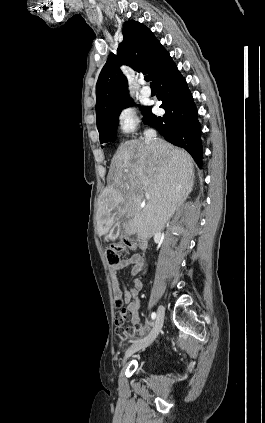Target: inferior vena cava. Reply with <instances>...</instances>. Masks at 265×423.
<instances>
[{
    "label": "inferior vena cava",
    "instance_id": "1",
    "mask_svg": "<svg viewBox=\"0 0 265 423\" xmlns=\"http://www.w3.org/2000/svg\"><path fill=\"white\" fill-rule=\"evenodd\" d=\"M157 136V133L154 129H147L144 131V139L145 143L149 144L152 142H155V138Z\"/></svg>",
    "mask_w": 265,
    "mask_h": 423
}]
</instances>
